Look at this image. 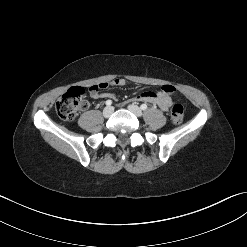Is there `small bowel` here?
<instances>
[{
  "label": "small bowel",
  "mask_w": 247,
  "mask_h": 247,
  "mask_svg": "<svg viewBox=\"0 0 247 247\" xmlns=\"http://www.w3.org/2000/svg\"><path fill=\"white\" fill-rule=\"evenodd\" d=\"M128 81L124 78H115L112 80L111 85L123 87L127 85ZM93 87V86H92ZM90 88L91 97L94 99L98 98H116L117 95L115 93L109 92H101L100 90H96L94 88ZM174 92V87L171 85L162 86L160 91L152 92L147 91L138 94L133 100L135 102H148L152 104H156L160 107V109L164 112L168 111L172 105L171 94Z\"/></svg>",
  "instance_id": "1"
}]
</instances>
